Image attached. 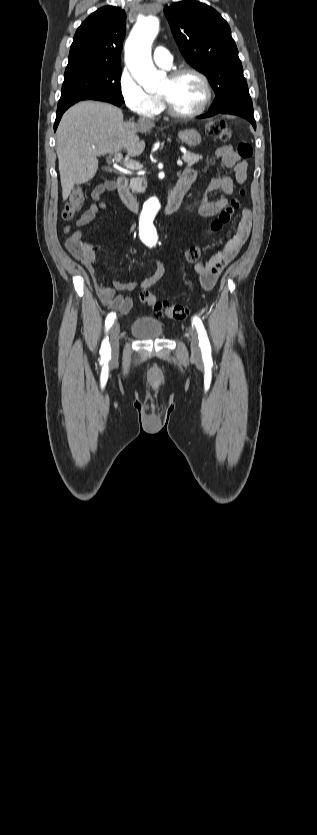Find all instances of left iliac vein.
I'll list each match as a JSON object with an SVG mask.
<instances>
[{"mask_svg":"<svg viewBox=\"0 0 317 835\" xmlns=\"http://www.w3.org/2000/svg\"><path fill=\"white\" fill-rule=\"evenodd\" d=\"M189 336H190V346H191L192 355L194 357L198 358L201 355V351H200V347H199V338H198V334H197L196 330L193 329V328H190Z\"/></svg>","mask_w":317,"mask_h":835,"instance_id":"4c4485c4","label":"left iliac vein"}]
</instances>
